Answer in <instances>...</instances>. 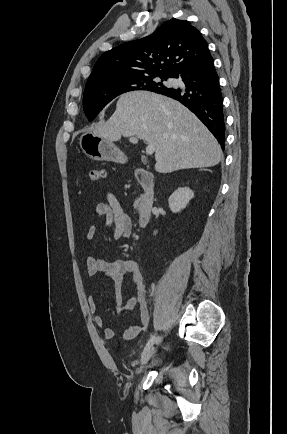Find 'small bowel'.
Here are the masks:
<instances>
[{"mask_svg": "<svg viewBox=\"0 0 287 434\" xmlns=\"http://www.w3.org/2000/svg\"><path fill=\"white\" fill-rule=\"evenodd\" d=\"M95 215L105 218L106 225L113 238H128L132 231V220L130 215L122 208L121 204L113 196H108L107 200L100 202L95 207ZM96 236V229L90 226L86 232V238L93 240ZM87 274L90 278L97 275L111 279L118 288L123 282L125 275L129 274L135 284V292L122 303L121 294L118 292L114 299L117 311H131L138 307L139 322L131 324L122 334L124 341H131L149 325L150 313L146 299V289L143 282L142 267L140 263L132 258L119 259L115 261H105L89 255L85 259ZM88 305L92 313H96L97 304L93 297H89ZM94 321L98 327L103 328L106 339H113L115 331L111 327L105 326L103 317L96 315Z\"/></svg>", "mask_w": 287, "mask_h": 434, "instance_id": "c3829d8e", "label": "small bowel"}]
</instances>
